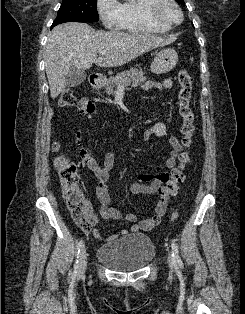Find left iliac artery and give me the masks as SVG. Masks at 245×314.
<instances>
[{
  "instance_id": "1",
  "label": "left iliac artery",
  "mask_w": 245,
  "mask_h": 314,
  "mask_svg": "<svg viewBox=\"0 0 245 314\" xmlns=\"http://www.w3.org/2000/svg\"><path fill=\"white\" fill-rule=\"evenodd\" d=\"M171 247H172V257L177 261L178 265L180 267L183 266V262L181 261L180 257H179V250H178V246L175 243V241L172 240L171 243Z\"/></svg>"
}]
</instances>
